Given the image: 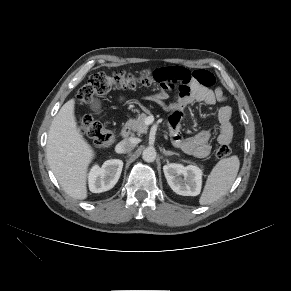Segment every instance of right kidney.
Returning a JSON list of instances; mask_svg holds the SVG:
<instances>
[{
    "label": "right kidney",
    "mask_w": 291,
    "mask_h": 291,
    "mask_svg": "<svg viewBox=\"0 0 291 291\" xmlns=\"http://www.w3.org/2000/svg\"><path fill=\"white\" fill-rule=\"evenodd\" d=\"M123 162L119 159L107 160L102 167L95 165L89 172V188L93 193L112 189L120 178Z\"/></svg>",
    "instance_id": "1"
}]
</instances>
